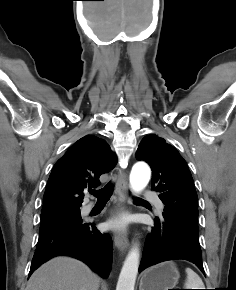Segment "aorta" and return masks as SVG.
Returning a JSON list of instances; mask_svg holds the SVG:
<instances>
[{
  "label": "aorta",
  "mask_w": 236,
  "mask_h": 290,
  "mask_svg": "<svg viewBox=\"0 0 236 290\" xmlns=\"http://www.w3.org/2000/svg\"><path fill=\"white\" fill-rule=\"evenodd\" d=\"M151 176L150 168L145 163H137L130 173V187L135 193L141 192L148 184ZM140 252L134 245L129 251L121 269L116 290H134L138 273Z\"/></svg>",
  "instance_id": "aorta-1"
}]
</instances>
